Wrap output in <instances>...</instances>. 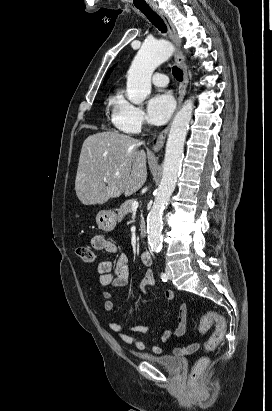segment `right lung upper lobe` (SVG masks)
<instances>
[{
    "label": "right lung upper lobe",
    "instance_id": "obj_1",
    "mask_svg": "<svg viewBox=\"0 0 272 411\" xmlns=\"http://www.w3.org/2000/svg\"><path fill=\"white\" fill-rule=\"evenodd\" d=\"M112 69H113V68L109 69V71L107 72L106 77H105L104 84H105L106 80L108 79V77H109L110 72L112 71Z\"/></svg>",
    "mask_w": 272,
    "mask_h": 411
}]
</instances>
